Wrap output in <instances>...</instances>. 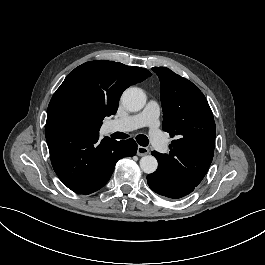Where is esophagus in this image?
Listing matches in <instances>:
<instances>
[{"mask_svg":"<svg viewBox=\"0 0 265 265\" xmlns=\"http://www.w3.org/2000/svg\"><path fill=\"white\" fill-rule=\"evenodd\" d=\"M149 153V149L147 147L138 146L137 147V155L144 156Z\"/></svg>","mask_w":265,"mask_h":265,"instance_id":"34e87169","label":"esophagus"}]
</instances>
